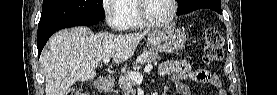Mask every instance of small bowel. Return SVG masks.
I'll use <instances>...</instances> for the list:
<instances>
[{
  "label": "small bowel",
  "instance_id": "c3829d8e",
  "mask_svg": "<svg viewBox=\"0 0 277 95\" xmlns=\"http://www.w3.org/2000/svg\"><path fill=\"white\" fill-rule=\"evenodd\" d=\"M158 73L160 76L170 75L175 83L178 94L189 95V88L182 83L183 80L187 79L199 84L212 85L221 87L222 83L220 79L206 70H195L193 71L191 65L185 60H168L160 64L158 67ZM218 94H225L224 91L220 90Z\"/></svg>",
  "mask_w": 277,
  "mask_h": 95
}]
</instances>
